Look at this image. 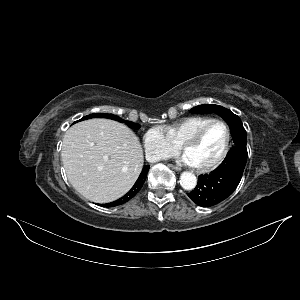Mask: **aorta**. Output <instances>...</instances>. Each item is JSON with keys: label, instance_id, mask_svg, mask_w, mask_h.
<instances>
[{"label": "aorta", "instance_id": "aorta-1", "mask_svg": "<svg viewBox=\"0 0 300 300\" xmlns=\"http://www.w3.org/2000/svg\"><path fill=\"white\" fill-rule=\"evenodd\" d=\"M197 184L196 176L191 172H183L180 176V185L185 190H192Z\"/></svg>", "mask_w": 300, "mask_h": 300}]
</instances>
